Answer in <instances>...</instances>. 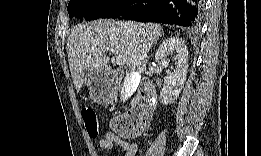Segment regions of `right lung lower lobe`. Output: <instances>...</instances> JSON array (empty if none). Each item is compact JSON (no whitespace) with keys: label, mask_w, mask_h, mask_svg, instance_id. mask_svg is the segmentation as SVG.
I'll use <instances>...</instances> for the list:
<instances>
[{"label":"right lung lower lobe","mask_w":261,"mask_h":156,"mask_svg":"<svg viewBox=\"0 0 261 156\" xmlns=\"http://www.w3.org/2000/svg\"><path fill=\"white\" fill-rule=\"evenodd\" d=\"M200 0H118L102 18H119L195 27Z\"/></svg>","instance_id":"1"}]
</instances>
